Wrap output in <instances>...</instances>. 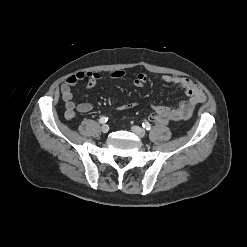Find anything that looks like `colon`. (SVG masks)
Instances as JSON below:
<instances>
[{
	"instance_id": "colon-1",
	"label": "colon",
	"mask_w": 247,
	"mask_h": 247,
	"mask_svg": "<svg viewBox=\"0 0 247 247\" xmlns=\"http://www.w3.org/2000/svg\"><path fill=\"white\" fill-rule=\"evenodd\" d=\"M150 119L153 122H155V123H157L159 125H168L169 122H170V119L169 118H167V117H165L163 115L157 114V113L156 114H152L150 116Z\"/></svg>"
}]
</instances>
